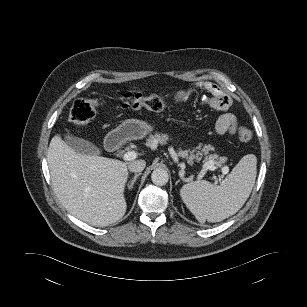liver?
Segmentation results:
<instances>
[{"label":"liver","mask_w":307,"mask_h":307,"mask_svg":"<svg viewBox=\"0 0 307 307\" xmlns=\"http://www.w3.org/2000/svg\"><path fill=\"white\" fill-rule=\"evenodd\" d=\"M47 162L54 192L70 214L99 227L124 216L128 163L77 153L60 135L50 142Z\"/></svg>","instance_id":"liver-1"}]
</instances>
